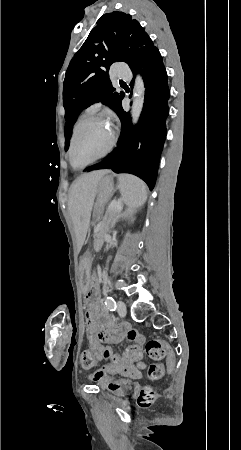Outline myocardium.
Returning <instances> with one entry per match:
<instances>
[{
	"label": "myocardium",
	"instance_id": "1",
	"mask_svg": "<svg viewBox=\"0 0 241 450\" xmlns=\"http://www.w3.org/2000/svg\"><path fill=\"white\" fill-rule=\"evenodd\" d=\"M80 134H81L80 130H72V132L70 134L71 137H73V138L71 139L70 144L67 145V148L70 149V153H69V157H67L66 160L69 163L72 162L73 157H76L75 150L80 148V139H79V137H76V135H80ZM110 135H111V137H109V140H106L107 148H105V152L101 153V156L105 157V158L108 157V155H109L108 153H113L114 149L116 148V145L113 144V142L115 140L114 137H117L118 133L115 132V130H110ZM90 162L94 163V162H96V160H90Z\"/></svg>",
	"mask_w": 241,
	"mask_h": 450
}]
</instances>
